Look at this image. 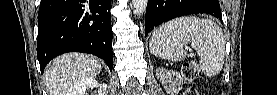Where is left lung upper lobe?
<instances>
[{"label": "left lung upper lobe", "instance_id": "left-lung-upper-lobe-1", "mask_svg": "<svg viewBox=\"0 0 277 95\" xmlns=\"http://www.w3.org/2000/svg\"><path fill=\"white\" fill-rule=\"evenodd\" d=\"M203 1H205V2H213V3L218 2L217 0H203Z\"/></svg>", "mask_w": 277, "mask_h": 95}]
</instances>
